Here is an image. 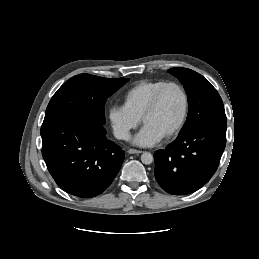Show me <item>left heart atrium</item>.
Returning a JSON list of instances; mask_svg holds the SVG:
<instances>
[{"label":"left heart atrium","instance_id":"obj_1","mask_svg":"<svg viewBox=\"0 0 259 259\" xmlns=\"http://www.w3.org/2000/svg\"><path fill=\"white\" fill-rule=\"evenodd\" d=\"M162 139L160 135L153 130L144 126L142 130L134 138V143L139 146H152Z\"/></svg>","mask_w":259,"mask_h":259}]
</instances>
